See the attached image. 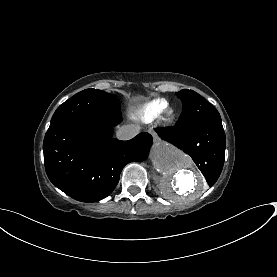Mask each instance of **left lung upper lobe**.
Here are the masks:
<instances>
[{
    "mask_svg": "<svg viewBox=\"0 0 277 277\" xmlns=\"http://www.w3.org/2000/svg\"><path fill=\"white\" fill-rule=\"evenodd\" d=\"M183 103V114L177 126H187L206 121H221L218 111L193 90L176 93Z\"/></svg>",
    "mask_w": 277,
    "mask_h": 277,
    "instance_id": "obj_1",
    "label": "left lung upper lobe"
}]
</instances>
